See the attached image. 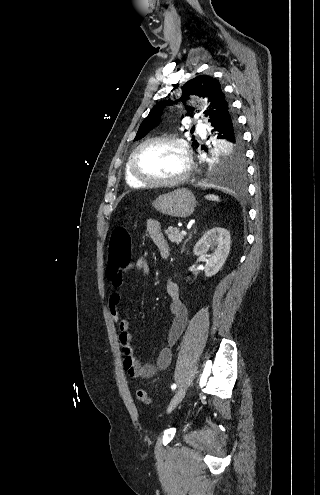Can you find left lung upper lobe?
Returning a JSON list of instances; mask_svg holds the SVG:
<instances>
[{
    "mask_svg": "<svg viewBox=\"0 0 320 495\" xmlns=\"http://www.w3.org/2000/svg\"><path fill=\"white\" fill-rule=\"evenodd\" d=\"M183 96L179 101L184 102L189 98V95H198L207 98L210 102L209 109L205 111V115L209 116L211 125L214 121L226 110L230 109L229 101L226 99L222 91L220 83L211 76L199 75L182 87ZM178 101H163L155 105L149 115L141 123L134 141L143 138L155 125L160 121L162 109L166 105L176 104ZM187 114L193 116L194 108L185 106ZM197 148V141L193 142ZM207 151V150H206ZM214 172L229 173L231 175H240L245 171L244 148L241 137V132L236 126L234 135L230 139L218 141L216 151L214 153V163L212 165Z\"/></svg>",
    "mask_w": 320,
    "mask_h": 495,
    "instance_id": "obj_1",
    "label": "left lung upper lobe"
}]
</instances>
